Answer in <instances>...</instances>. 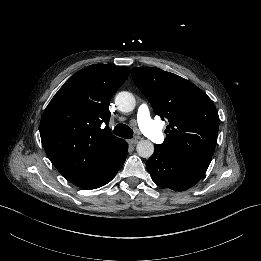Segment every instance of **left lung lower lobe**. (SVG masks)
<instances>
[{
  "label": "left lung lower lobe",
  "mask_w": 261,
  "mask_h": 261,
  "mask_svg": "<svg viewBox=\"0 0 261 261\" xmlns=\"http://www.w3.org/2000/svg\"><path fill=\"white\" fill-rule=\"evenodd\" d=\"M210 161L193 155L165 152L155 145L154 154L146 163L152 180L161 188L186 190L204 176Z\"/></svg>",
  "instance_id": "left-lung-lower-lobe-1"
}]
</instances>
